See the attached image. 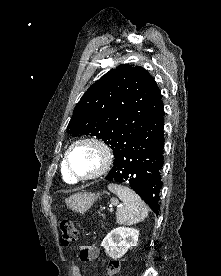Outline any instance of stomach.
Here are the masks:
<instances>
[{
	"mask_svg": "<svg viewBox=\"0 0 221 276\" xmlns=\"http://www.w3.org/2000/svg\"><path fill=\"white\" fill-rule=\"evenodd\" d=\"M99 194L94 193H77L72 196H70L68 199H66V205L71 209L72 211L84 213L87 211L95 202L97 198H99Z\"/></svg>",
	"mask_w": 221,
	"mask_h": 276,
	"instance_id": "1",
	"label": "stomach"
}]
</instances>
